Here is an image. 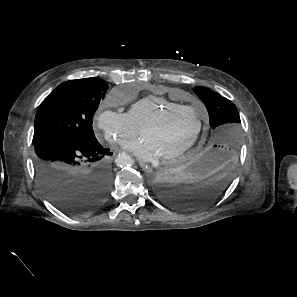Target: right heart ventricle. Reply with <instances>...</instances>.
Wrapping results in <instances>:
<instances>
[{
    "label": "right heart ventricle",
    "instance_id": "e07e8e85",
    "mask_svg": "<svg viewBox=\"0 0 297 297\" xmlns=\"http://www.w3.org/2000/svg\"><path fill=\"white\" fill-rule=\"evenodd\" d=\"M174 105L179 104L163 96L148 95L133 102L127 114L136 127H141L155 113Z\"/></svg>",
    "mask_w": 297,
    "mask_h": 297
}]
</instances>
